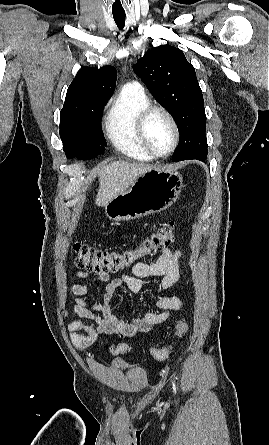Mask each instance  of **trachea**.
Listing matches in <instances>:
<instances>
[{"label": "trachea", "instance_id": "1", "mask_svg": "<svg viewBox=\"0 0 269 445\" xmlns=\"http://www.w3.org/2000/svg\"><path fill=\"white\" fill-rule=\"evenodd\" d=\"M113 18H114V21H115L117 27L120 30H122L124 28V26H125V18H126V16L125 15H115V16L113 15Z\"/></svg>", "mask_w": 269, "mask_h": 445}]
</instances>
